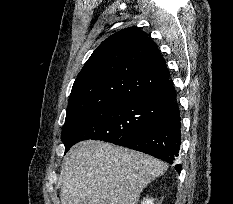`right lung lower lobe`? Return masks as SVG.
Wrapping results in <instances>:
<instances>
[{"label":"right lung lower lobe","mask_w":233,"mask_h":204,"mask_svg":"<svg viewBox=\"0 0 233 204\" xmlns=\"http://www.w3.org/2000/svg\"><path fill=\"white\" fill-rule=\"evenodd\" d=\"M151 103L160 115V120L142 132L122 136L112 143L173 163L181 145V118L174 86L152 96ZM175 169L180 173L181 165H175Z\"/></svg>","instance_id":"obj_1"}]
</instances>
